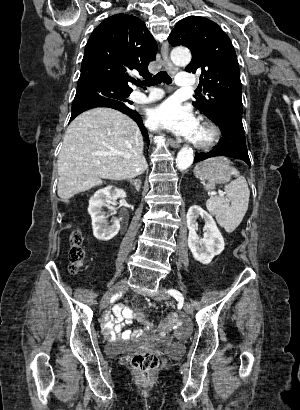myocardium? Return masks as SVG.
<instances>
[{"label": "myocardium", "mask_w": 300, "mask_h": 410, "mask_svg": "<svg viewBox=\"0 0 300 410\" xmlns=\"http://www.w3.org/2000/svg\"><path fill=\"white\" fill-rule=\"evenodd\" d=\"M199 126L207 131L208 136L204 140H192L193 146L200 150H207L215 146L221 137V130L217 124L209 119L202 118Z\"/></svg>", "instance_id": "myocardium-1"}]
</instances>
